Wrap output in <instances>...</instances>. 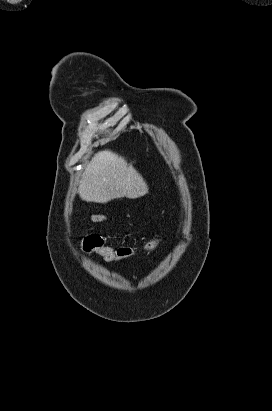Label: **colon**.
Listing matches in <instances>:
<instances>
[{
  "label": "colon",
  "mask_w": 272,
  "mask_h": 411,
  "mask_svg": "<svg viewBox=\"0 0 272 411\" xmlns=\"http://www.w3.org/2000/svg\"><path fill=\"white\" fill-rule=\"evenodd\" d=\"M157 241H150L146 244L147 249H153ZM83 250L87 253H96L108 262H115L130 257L134 250L131 247L112 248L104 245V240L98 235H88L83 239Z\"/></svg>",
  "instance_id": "colon-1"
}]
</instances>
